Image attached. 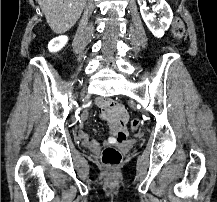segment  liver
<instances>
[{"label":"liver","mask_w":217,"mask_h":202,"mask_svg":"<svg viewBox=\"0 0 217 202\" xmlns=\"http://www.w3.org/2000/svg\"><path fill=\"white\" fill-rule=\"evenodd\" d=\"M38 2L48 26L55 34H64L79 20L86 0H35Z\"/></svg>","instance_id":"obj_1"}]
</instances>
